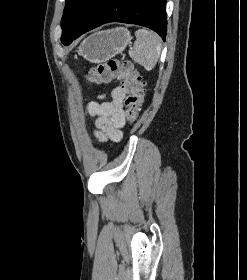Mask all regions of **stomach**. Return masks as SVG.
<instances>
[{"label": "stomach", "mask_w": 247, "mask_h": 280, "mask_svg": "<svg viewBox=\"0 0 247 280\" xmlns=\"http://www.w3.org/2000/svg\"><path fill=\"white\" fill-rule=\"evenodd\" d=\"M130 40V32L123 27L98 31L84 39L79 54L92 63H102L121 53Z\"/></svg>", "instance_id": "obj_1"}]
</instances>
